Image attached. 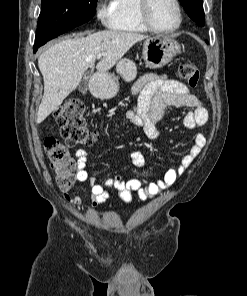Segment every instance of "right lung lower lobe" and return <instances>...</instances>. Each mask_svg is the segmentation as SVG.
Listing matches in <instances>:
<instances>
[{
	"instance_id": "1",
	"label": "right lung lower lobe",
	"mask_w": 247,
	"mask_h": 296,
	"mask_svg": "<svg viewBox=\"0 0 247 296\" xmlns=\"http://www.w3.org/2000/svg\"><path fill=\"white\" fill-rule=\"evenodd\" d=\"M37 50V48H34V52Z\"/></svg>"
}]
</instances>
